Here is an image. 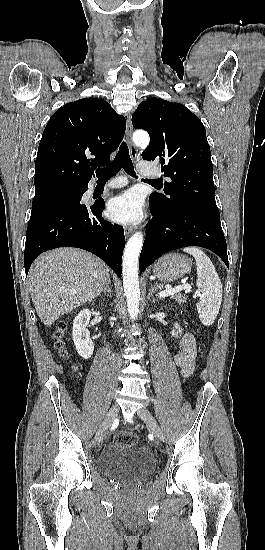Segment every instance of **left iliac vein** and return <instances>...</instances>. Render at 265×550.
<instances>
[{
	"instance_id": "1",
	"label": "left iliac vein",
	"mask_w": 265,
	"mask_h": 550,
	"mask_svg": "<svg viewBox=\"0 0 265 550\" xmlns=\"http://www.w3.org/2000/svg\"><path fill=\"white\" fill-rule=\"evenodd\" d=\"M138 416L146 423V425L149 427V429L157 439L162 441L164 440V435L160 429L159 424L147 408L143 407L139 409Z\"/></svg>"
}]
</instances>
